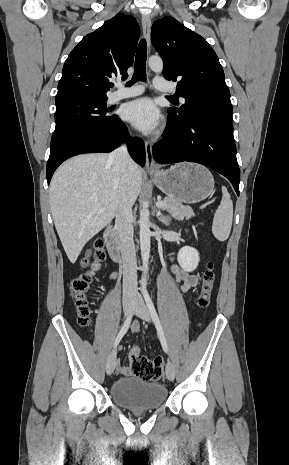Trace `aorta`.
Returning <instances> with one entry per match:
<instances>
[{"mask_svg": "<svg viewBox=\"0 0 289 465\" xmlns=\"http://www.w3.org/2000/svg\"><path fill=\"white\" fill-rule=\"evenodd\" d=\"M149 67L154 72H161L163 70V61L158 56H151L148 61ZM149 209L146 206L140 211V249L142 258V270L147 272L149 255H150V237L151 232L149 229ZM147 285L146 275L141 279V290L145 291Z\"/></svg>", "mask_w": 289, "mask_h": 465, "instance_id": "aorta-1", "label": "aorta"}]
</instances>
